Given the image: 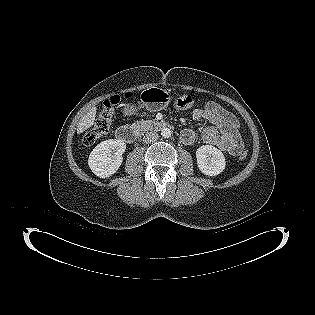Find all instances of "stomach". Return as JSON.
Returning <instances> with one entry per match:
<instances>
[{"mask_svg":"<svg viewBox=\"0 0 315 315\" xmlns=\"http://www.w3.org/2000/svg\"><path fill=\"white\" fill-rule=\"evenodd\" d=\"M142 104L150 111H159L165 108L171 101L170 94L161 88L146 89L141 93ZM127 105V109H132Z\"/></svg>","mask_w":315,"mask_h":315,"instance_id":"obj_1","label":"stomach"}]
</instances>
